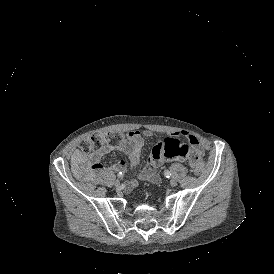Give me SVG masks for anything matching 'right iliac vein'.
<instances>
[{
  "mask_svg": "<svg viewBox=\"0 0 274 274\" xmlns=\"http://www.w3.org/2000/svg\"><path fill=\"white\" fill-rule=\"evenodd\" d=\"M114 185H115L116 187H118V186L120 185V181H119L118 179L115 180Z\"/></svg>",
  "mask_w": 274,
  "mask_h": 274,
  "instance_id": "right-iliac-vein-1",
  "label": "right iliac vein"
}]
</instances>
